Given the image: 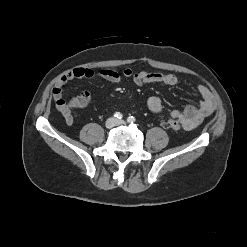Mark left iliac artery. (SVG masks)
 <instances>
[{"label": "left iliac artery", "mask_w": 247, "mask_h": 247, "mask_svg": "<svg viewBox=\"0 0 247 247\" xmlns=\"http://www.w3.org/2000/svg\"><path fill=\"white\" fill-rule=\"evenodd\" d=\"M127 121L130 123H133V122H135V118L133 116H129Z\"/></svg>", "instance_id": "left-iliac-artery-1"}]
</instances>
